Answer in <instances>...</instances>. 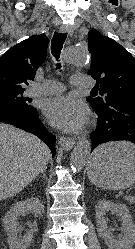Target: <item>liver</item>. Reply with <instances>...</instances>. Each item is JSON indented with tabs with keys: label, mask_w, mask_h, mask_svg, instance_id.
<instances>
[{
	"label": "liver",
	"mask_w": 135,
	"mask_h": 249,
	"mask_svg": "<svg viewBox=\"0 0 135 249\" xmlns=\"http://www.w3.org/2000/svg\"><path fill=\"white\" fill-rule=\"evenodd\" d=\"M50 159L48 146L39 138L0 123V201L22 191Z\"/></svg>",
	"instance_id": "liver-1"
}]
</instances>
